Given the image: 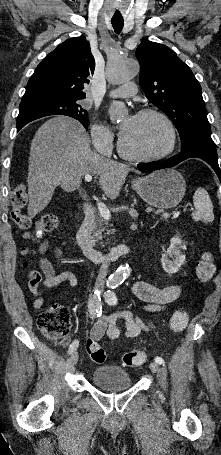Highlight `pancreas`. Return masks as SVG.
<instances>
[{
  "mask_svg": "<svg viewBox=\"0 0 221 455\" xmlns=\"http://www.w3.org/2000/svg\"><path fill=\"white\" fill-rule=\"evenodd\" d=\"M104 231H107L106 234H109L111 232V230L108 229V224L103 219V217L100 215H97L96 221H95L93 227L91 228V234H92V237L94 238V240L95 241L102 240Z\"/></svg>",
  "mask_w": 221,
  "mask_h": 455,
  "instance_id": "cf45deb5",
  "label": "pancreas"
}]
</instances>
